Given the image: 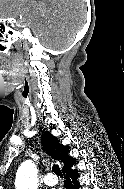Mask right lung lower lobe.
Returning a JSON list of instances; mask_svg holds the SVG:
<instances>
[{
  "mask_svg": "<svg viewBox=\"0 0 124 189\" xmlns=\"http://www.w3.org/2000/svg\"><path fill=\"white\" fill-rule=\"evenodd\" d=\"M73 164H71L69 167L63 170V173L65 175V181H64L65 189H78L80 187V185L76 181V179L78 178V173L76 170L71 169Z\"/></svg>",
  "mask_w": 124,
  "mask_h": 189,
  "instance_id": "right-lung-lower-lobe-1",
  "label": "right lung lower lobe"
}]
</instances>
